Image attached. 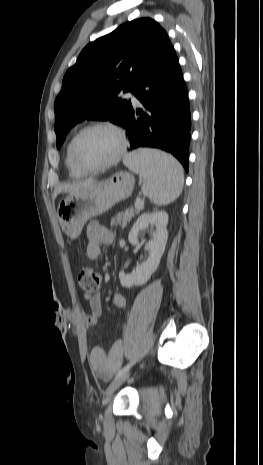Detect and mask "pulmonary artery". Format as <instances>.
<instances>
[{
	"label": "pulmonary artery",
	"mask_w": 263,
	"mask_h": 465,
	"mask_svg": "<svg viewBox=\"0 0 263 465\" xmlns=\"http://www.w3.org/2000/svg\"><path fill=\"white\" fill-rule=\"evenodd\" d=\"M126 97L131 99V101L134 103V104H139V100L137 99V97L134 95L133 92H127L126 93Z\"/></svg>",
	"instance_id": "pulmonary-artery-1"
}]
</instances>
